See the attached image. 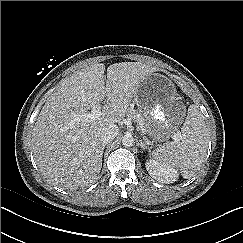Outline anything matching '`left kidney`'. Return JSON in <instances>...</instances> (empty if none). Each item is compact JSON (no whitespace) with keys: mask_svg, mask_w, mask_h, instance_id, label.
<instances>
[{"mask_svg":"<svg viewBox=\"0 0 243 243\" xmlns=\"http://www.w3.org/2000/svg\"><path fill=\"white\" fill-rule=\"evenodd\" d=\"M146 169L152 178L165 184L173 183L179 177L174 168L160 165L153 160L146 163Z\"/></svg>","mask_w":243,"mask_h":243,"instance_id":"obj_1","label":"left kidney"}]
</instances>
